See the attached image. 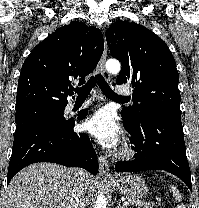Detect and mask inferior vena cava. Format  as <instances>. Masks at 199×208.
<instances>
[{
	"mask_svg": "<svg viewBox=\"0 0 199 208\" xmlns=\"http://www.w3.org/2000/svg\"><path fill=\"white\" fill-rule=\"evenodd\" d=\"M86 172L81 168L74 169V188L71 193L69 208H86L84 197V181Z\"/></svg>",
	"mask_w": 199,
	"mask_h": 208,
	"instance_id": "602c4592",
	"label": "inferior vena cava"
}]
</instances>
